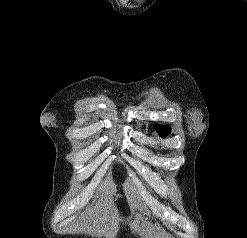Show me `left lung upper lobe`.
<instances>
[{"label":"left lung upper lobe","instance_id":"obj_1","mask_svg":"<svg viewBox=\"0 0 247 238\" xmlns=\"http://www.w3.org/2000/svg\"><path fill=\"white\" fill-rule=\"evenodd\" d=\"M170 130L171 129L168 126H165V127L160 126V127H158L159 135L163 136V137L167 136L170 133Z\"/></svg>","mask_w":247,"mask_h":238}]
</instances>
